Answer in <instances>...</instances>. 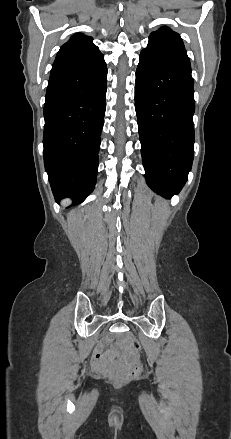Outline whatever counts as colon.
Listing matches in <instances>:
<instances>
[{"label": "colon", "mask_w": 231, "mask_h": 439, "mask_svg": "<svg viewBox=\"0 0 231 439\" xmlns=\"http://www.w3.org/2000/svg\"><path fill=\"white\" fill-rule=\"evenodd\" d=\"M130 348H131L132 352L135 353L136 357L134 359L133 366H132L131 370L126 374L120 375L119 379L122 381L135 378L139 374L141 367H142L140 342L136 339L131 340L130 341Z\"/></svg>", "instance_id": "1"}]
</instances>
